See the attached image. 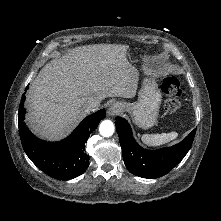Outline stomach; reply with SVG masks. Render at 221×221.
I'll use <instances>...</instances> for the list:
<instances>
[{"label":"stomach","instance_id":"1","mask_svg":"<svg viewBox=\"0 0 221 221\" xmlns=\"http://www.w3.org/2000/svg\"><path fill=\"white\" fill-rule=\"evenodd\" d=\"M161 98V92L155 78L145 72L137 102H120L119 104L124 111L130 113L133 122L138 127L147 129L156 124Z\"/></svg>","mask_w":221,"mask_h":221}]
</instances>
